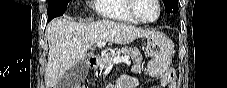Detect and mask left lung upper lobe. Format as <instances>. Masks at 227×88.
I'll return each mask as SVG.
<instances>
[{"instance_id": "5c2ea615", "label": "left lung upper lobe", "mask_w": 227, "mask_h": 88, "mask_svg": "<svg viewBox=\"0 0 227 88\" xmlns=\"http://www.w3.org/2000/svg\"><path fill=\"white\" fill-rule=\"evenodd\" d=\"M165 10L167 13L178 12V1L177 0H163Z\"/></svg>"}]
</instances>
